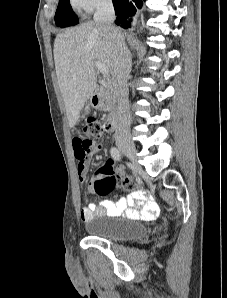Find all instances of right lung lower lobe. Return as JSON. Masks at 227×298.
I'll use <instances>...</instances> for the list:
<instances>
[{
	"instance_id": "obj_1",
	"label": "right lung lower lobe",
	"mask_w": 227,
	"mask_h": 298,
	"mask_svg": "<svg viewBox=\"0 0 227 298\" xmlns=\"http://www.w3.org/2000/svg\"><path fill=\"white\" fill-rule=\"evenodd\" d=\"M117 15L116 24L123 28L131 27V19L126 21V18L136 13V8H141V0H112Z\"/></svg>"
}]
</instances>
